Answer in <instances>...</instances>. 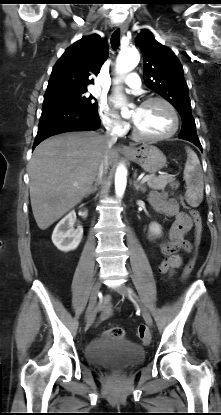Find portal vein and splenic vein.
I'll use <instances>...</instances> for the list:
<instances>
[{"instance_id":"portal-vein-and-splenic-vein-1","label":"portal vein and splenic vein","mask_w":221,"mask_h":415,"mask_svg":"<svg viewBox=\"0 0 221 415\" xmlns=\"http://www.w3.org/2000/svg\"><path fill=\"white\" fill-rule=\"evenodd\" d=\"M150 178H151V176H149V175L144 176V177L141 179V183H145V182H147ZM75 186H77V185H75Z\"/></svg>"}]
</instances>
